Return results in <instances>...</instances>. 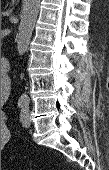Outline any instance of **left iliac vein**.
<instances>
[{
    "label": "left iliac vein",
    "mask_w": 109,
    "mask_h": 170,
    "mask_svg": "<svg viewBox=\"0 0 109 170\" xmlns=\"http://www.w3.org/2000/svg\"><path fill=\"white\" fill-rule=\"evenodd\" d=\"M30 124H31V121H30V118H29V114L26 113V114L23 116V118H22V125H23L24 127H29Z\"/></svg>",
    "instance_id": "4c4485c4"
}]
</instances>
